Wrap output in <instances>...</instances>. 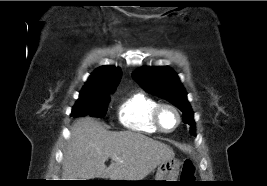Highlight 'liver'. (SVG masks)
<instances>
[{"label":"liver","instance_id":"obj_1","mask_svg":"<svg viewBox=\"0 0 267 186\" xmlns=\"http://www.w3.org/2000/svg\"><path fill=\"white\" fill-rule=\"evenodd\" d=\"M173 157V150L160 141L132 131H107L98 121L85 117L70 129L62 178L139 181ZM108 158L111 164L106 167Z\"/></svg>","mask_w":267,"mask_h":186}]
</instances>
